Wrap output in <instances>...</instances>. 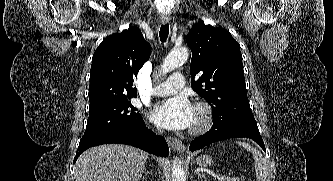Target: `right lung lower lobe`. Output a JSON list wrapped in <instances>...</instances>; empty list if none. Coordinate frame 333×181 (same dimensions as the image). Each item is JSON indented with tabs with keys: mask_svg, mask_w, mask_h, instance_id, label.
<instances>
[{
	"mask_svg": "<svg viewBox=\"0 0 333 181\" xmlns=\"http://www.w3.org/2000/svg\"><path fill=\"white\" fill-rule=\"evenodd\" d=\"M107 143L132 145L161 157H166L169 154V148L164 138L147 129L142 120L140 123L135 124L126 130L82 138L79 143L75 161L86 149Z\"/></svg>",
	"mask_w": 333,
	"mask_h": 181,
	"instance_id": "1",
	"label": "right lung lower lobe"
}]
</instances>
